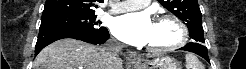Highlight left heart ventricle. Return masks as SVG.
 I'll return each instance as SVG.
<instances>
[{
	"mask_svg": "<svg viewBox=\"0 0 246 69\" xmlns=\"http://www.w3.org/2000/svg\"><path fill=\"white\" fill-rule=\"evenodd\" d=\"M179 37L175 25L169 21L153 23L152 33L148 42L150 46H165L174 43Z\"/></svg>",
	"mask_w": 246,
	"mask_h": 69,
	"instance_id": "left-heart-ventricle-1",
	"label": "left heart ventricle"
}]
</instances>
